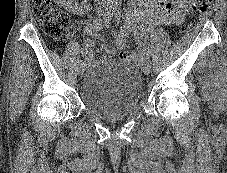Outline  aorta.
<instances>
[{
  "instance_id": "aorta-1",
  "label": "aorta",
  "mask_w": 227,
  "mask_h": 173,
  "mask_svg": "<svg viewBox=\"0 0 227 173\" xmlns=\"http://www.w3.org/2000/svg\"><path fill=\"white\" fill-rule=\"evenodd\" d=\"M112 2H117V3H120L122 2V0H111Z\"/></svg>"
}]
</instances>
